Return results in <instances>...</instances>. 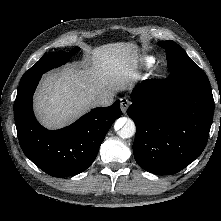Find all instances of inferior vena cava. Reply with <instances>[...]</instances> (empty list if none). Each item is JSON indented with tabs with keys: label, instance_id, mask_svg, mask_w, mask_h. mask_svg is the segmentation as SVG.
Instances as JSON below:
<instances>
[{
	"label": "inferior vena cava",
	"instance_id": "1",
	"mask_svg": "<svg viewBox=\"0 0 221 221\" xmlns=\"http://www.w3.org/2000/svg\"><path fill=\"white\" fill-rule=\"evenodd\" d=\"M114 93H111L109 95H104V96H99L97 98L94 99V104L96 106H109L114 102Z\"/></svg>",
	"mask_w": 221,
	"mask_h": 221
}]
</instances>
